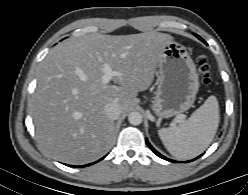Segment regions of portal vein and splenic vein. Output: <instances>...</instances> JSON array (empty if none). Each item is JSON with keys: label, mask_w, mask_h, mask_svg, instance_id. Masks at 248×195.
Segmentation results:
<instances>
[{"label": "portal vein and splenic vein", "mask_w": 248, "mask_h": 195, "mask_svg": "<svg viewBox=\"0 0 248 195\" xmlns=\"http://www.w3.org/2000/svg\"><path fill=\"white\" fill-rule=\"evenodd\" d=\"M103 76H102V83L103 84H108L110 82V80L114 77V76H121L122 73L117 72V71H113L112 68L105 63L103 66Z\"/></svg>", "instance_id": "1"}]
</instances>
